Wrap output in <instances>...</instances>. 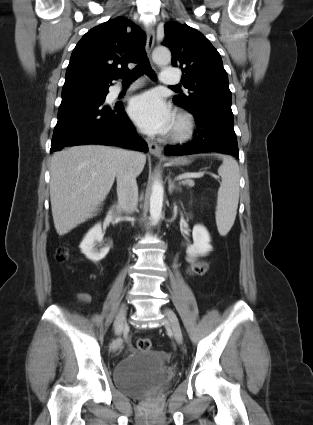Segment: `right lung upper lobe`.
<instances>
[{
	"label": "right lung upper lobe",
	"mask_w": 313,
	"mask_h": 425,
	"mask_svg": "<svg viewBox=\"0 0 313 425\" xmlns=\"http://www.w3.org/2000/svg\"><path fill=\"white\" fill-rule=\"evenodd\" d=\"M145 33L124 17L104 22L89 30L74 48L63 89L109 87L139 60ZM122 68H118V65Z\"/></svg>",
	"instance_id": "obj_1"
}]
</instances>
